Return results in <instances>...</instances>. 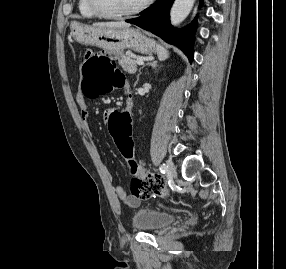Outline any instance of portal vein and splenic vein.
I'll list each match as a JSON object with an SVG mask.
<instances>
[{"label": "portal vein and splenic vein", "mask_w": 286, "mask_h": 269, "mask_svg": "<svg viewBox=\"0 0 286 269\" xmlns=\"http://www.w3.org/2000/svg\"><path fill=\"white\" fill-rule=\"evenodd\" d=\"M136 64L143 65L144 61L142 59H138V60H136Z\"/></svg>", "instance_id": "portal-vein-and-splenic-vein-1"}]
</instances>
